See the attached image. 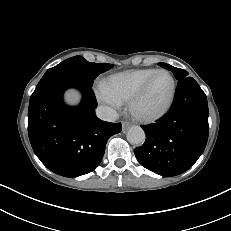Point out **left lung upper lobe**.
I'll return each mask as SVG.
<instances>
[{
  "mask_svg": "<svg viewBox=\"0 0 231 231\" xmlns=\"http://www.w3.org/2000/svg\"><path fill=\"white\" fill-rule=\"evenodd\" d=\"M159 65L161 67L167 69V70L172 71L177 80H181V79L187 77V75H188V73L183 69H179V68L173 67L171 65L165 64V63H159Z\"/></svg>",
  "mask_w": 231,
  "mask_h": 231,
  "instance_id": "1",
  "label": "left lung upper lobe"
}]
</instances>
